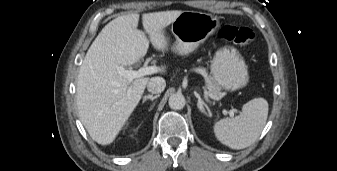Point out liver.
I'll return each instance as SVG.
<instances>
[{"label": "liver", "instance_id": "1", "mask_svg": "<svg viewBox=\"0 0 337 171\" xmlns=\"http://www.w3.org/2000/svg\"><path fill=\"white\" fill-rule=\"evenodd\" d=\"M181 13L172 10L143 14L145 32L137 28L139 14L119 16L91 44L79 70L76 99L80 120L97 143L108 145L114 141L150 80L140 77L128 82L117 67L138 62L150 42L158 51L167 50L164 29Z\"/></svg>", "mask_w": 337, "mask_h": 171}]
</instances>
